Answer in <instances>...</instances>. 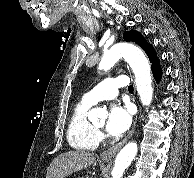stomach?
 I'll return each instance as SVG.
<instances>
[{
	"label": "stomach",
	"instance_id": "stomach-1",
	"mask_svg": "<svg viewBox=\"0 0 194 178\" xmlns=\"http://www.w3.org/2000/svg\"><path fill=\"white\" fill-rule=\"evenodd\" d=\"M103 161L108 162V161H109V159H103Z\"/></svg>",
	"mask_w": 194,
	"mask_h": 178
}]
</instances>
